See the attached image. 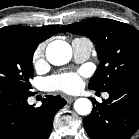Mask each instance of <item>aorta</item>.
<instances>
[{"instance_id": "obj_1", "label": "aorta", "mask_w": 139, "mask_h": 139, "mask_svg": "<svg viewBox=\"0 0 139 139\" xmlns=\"http://www.w3.org/2000/svg\"><path fill=\"white\" fill-rule=\"evenodd\" d=\"M71 57V46L65 41H52L46 48V58L53 65H64L70 61ZM92 107V102L87 98H79L74 102V109L79 115H89Z\"/></svg>"}]
</instances>
